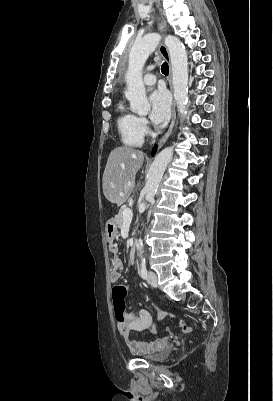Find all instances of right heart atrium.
Returning <instances> with one entry per match:
<instances>
[{"label": "right heart atrium", "mask_w": 273, "mask_h": 401, "mask_svg": "<svg viewBox=\"0 0 273 401\" xmlns=\"http://www.w3.org/2000/svg\"><path fill=\"white\" fill-rule=\"evenodd\" d=\"M138 124L140 131L143 135H149L151 133V129L149 127V123L144 117H138Z\"/></svg>", "instance_id": "1"}]
</instances>
